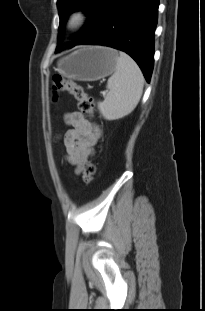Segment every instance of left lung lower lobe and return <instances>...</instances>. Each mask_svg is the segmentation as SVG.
I'll return each mask as SVG.
<instances>
[{"label":"left lung lower lobe","instance_id":"left-lung-lower-lobe-1","mask_svg":"<svg viewBox=\"0 0 205 311\" xmlns=\"http://www.w3.org/2000/svg\"><path fill=\"white\" fill-rule=\"evenodd\" d=\"M159 0H114L104 19L76 45H105L129 54L149 82Z\"/></svg>","mask_w":205,"mask_h":311}]
</instances>
